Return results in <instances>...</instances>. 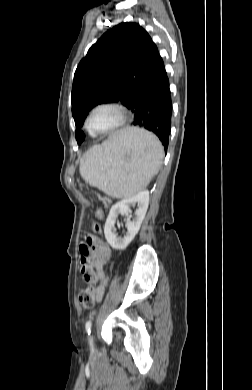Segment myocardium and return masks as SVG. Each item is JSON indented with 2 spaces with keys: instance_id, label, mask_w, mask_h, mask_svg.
Masks as SVG:
<instances>
[{
  "instance_id": "myocardium-1",
  "label": "myocardium",
  "mask_w": 252,
  "mask_h": 390,
  "mask_svg": "<svg viewBox=\"0 0 252 390\" xmlns=\"http://www.w3.org/2000/svg\"><path fill=\"white\" fill-rule=\"evenodd\" d=\"M101 109L112 110L116 114V121L114 122L113 125H111L107 129L96 130L91 125V119H92V116L94 115V113L98 110H101ZM128 118H129V111L124 105L119 104V103H115V102H105V103H100L91 109V111L88 114L87 120H86V125H87L88 130L92 134L106 135V134H110V133L120 129L121 127H123L126 124Z\"/></svg>"
}]
</instances>
